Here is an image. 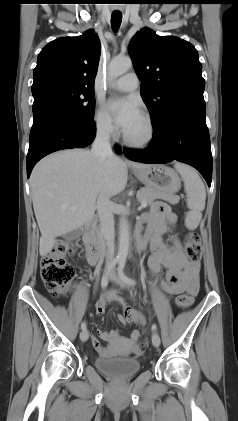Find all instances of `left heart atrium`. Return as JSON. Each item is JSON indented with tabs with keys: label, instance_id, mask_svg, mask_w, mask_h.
Segmentation results:
<instances>
[{
	"label": "left heart atrium",
	"instance_id": "1",
	"mask_svg": "<svg viewBox=\"0 0 238 421\" xmlns=\"http://www.w3.org/2000/svg\"><path fill=\"white\" fill-rule=\"evenodd\" d=\"M107 108L123 130L132 125L141 115L138 104L132 98H115L107 103Z\"/></svg>",
	"mask_w": 238,
	"mask_h": 421
}]
</instances>
